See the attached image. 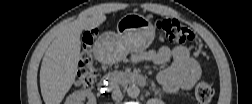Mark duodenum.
<instances>
[{
  "label": "duodenum",
  "mask_w": 252,
  "mask_h": 104,
  "mask_svg": "<svg viewBox=\"0 0 252 104\" xmlns=\"http://www.w3.org/2000/svg\"><path fill=\"white\" fill-rule=\"evenodd\" d=\"M119 84L127 86H146L148 80L142 75H136L131 73L114 72L106 75L99 83V87L106 91L107 89L116 87Z\"/></svg>",
  "instance_id": "duodenum-1"
}]
</instances>
